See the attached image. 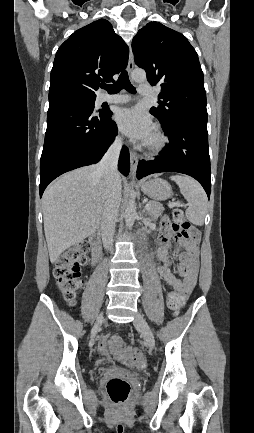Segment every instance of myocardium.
I'll use <instances>...</instances> for the list:
<instances>
[{
  "label": "myocardium",
  "mask_w": 254,
  "mask_h": 433,
  "mask_svg": "<svg viewBox=\"0 0 254 433\" xmlns=\"http://www.w3.org/2000/svg\"><path fill=\"white\" fill-rule=\"evenodd\" d=\"M167 142L168 138L166 135L157 128L152 133V139L145 142V148L148 152L156 154L165 148Z\"/></svg>",
  "instance_id": "f54148a6"
}]
</instances>
